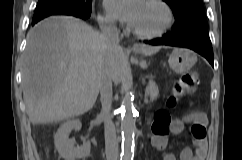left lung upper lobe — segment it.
Wrapping results in <instances>:
<instances>
[{"label":"left lung upper lobe","mask_w":242,"mask_h":160,"mask_svg":"<svg viewBox=\"0 0 242 160\" xmlns=\"http://www.w3.org/2000/svg\"><path fill=\"white\" fill-rule=\"evenodd\" d=\"M172 9L175 24L168 34L177 37L193 30H207L202 0H164Z\"/></svg>","instance_id":"1"}]
</instances>
